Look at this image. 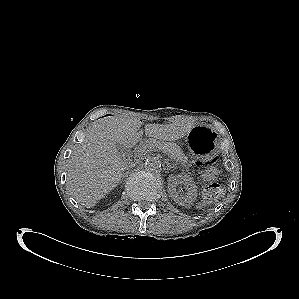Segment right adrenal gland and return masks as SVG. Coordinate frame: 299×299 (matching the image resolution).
I'll list each match as a JSON object with an SVG mask.
<instances>
[{
    "label": "right adrenal gland",
    "mask_w": 299,
    "mask_h": 299,
    "mask_svg": "<svg viewBox=\"0 0 299 299\" xmlns=\"http://www.w3.org/2000/svg\"><path fill=\"white\" fill-rule=\"evenodd\" d=\"M126 175H127V172H126V173H123V175H122V179H120V182L123 181V178L126 177Z\"/></svg>",
    "instance_id": "right-adrenal-gland-1"
}]
</instances>
